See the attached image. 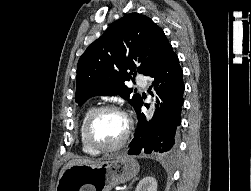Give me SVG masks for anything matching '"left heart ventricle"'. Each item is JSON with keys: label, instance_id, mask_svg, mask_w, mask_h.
<instances>
[{"label": "left heart ventricle", "instance_id": "obj_1", "mask_svg": "<svg viewBox=\"0 0 251 191\" xmlns=\"http://www.w3.org/2000/svg\"><path fill=\"white\" fill-rule=\"evenodd\" d=\"M125 122L113 111H105L97 116L91 128V137L101 146L119 142L124 134Z\"/></svg>", "mask_w": 251, "mask_h": 191}]
</instances>
